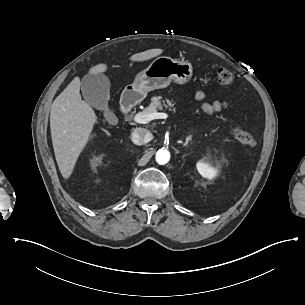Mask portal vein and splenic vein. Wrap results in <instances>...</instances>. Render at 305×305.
I'll list each match as a JSON object with an SVG mask.
<instances>
[{
  "label": "portal vein and splenic vein",
  "mask_w": 305,
  "mask_h": 305,
  "mask_svg": "<svg viewBox=\"0 0 305 305\" xmlns=\"http://www.w3.org/2000/svg\"><path fill=\"white\" fill-rule=\"evenodd\" d=\"M168 117V114L166 113H160L157 111L154 112H139L135 115L134 121L140 124H146L149 123L151 120L154 119H166Z\"/></svg>",
  "instance_id": "portal-vein-and-splenic-vein-1"
}]
</instances>
